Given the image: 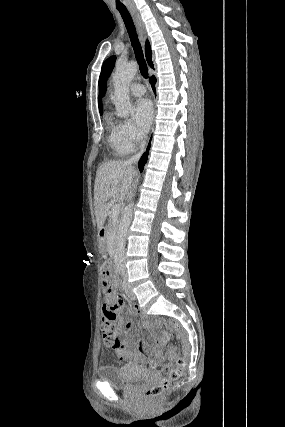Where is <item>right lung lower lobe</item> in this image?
I'll return each instance as SVG.
<instances>
[{
	"label": "right lung lower lobe",
	"mask_w": 285,
	"mask_h": 427,
	"mask_svg": "<svg viewBox=\"0 0 285 427\" xmlns=\"http://www.w3.org/2000/svg\"><path fill=\"white\" fill-rule=\"evenodd\" d=\"M150 83H151V86H152V88H153V90H154V92H155V83H156V78H155L154 76H152V77L150 78ZM149 147H150V144H149V146H148V148H147V152H148V150H149ZM147 157H148V153H144V154H143V156L141 157V159H140L139 163H138V167H139L140 172H142V171H143V169H144V165H145V163H146V161H147Z\"/></svg>",
	"instance_id": "1"
}]
</instances>
